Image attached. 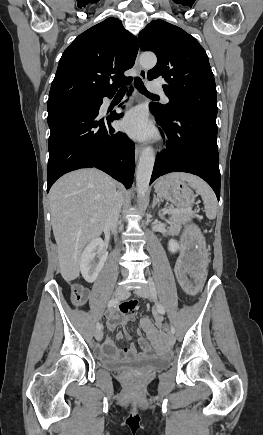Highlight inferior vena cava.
<instances>
[{
  "instance_id": "obj_1",
  "label": "inferior vena cava",
  "mask_w": 263,
  "mask_h": 435,
  "mask_svg": "<svg viewBox=\"0 0 263 435\" xmlns=\"http://www.w3.org/2000/svg\"><path fill=\"white\" fill-rule=\"evenodd\" d=\"M122 202H123L122 195L120 192H117L115 194V197L112 201V204L109 208L106 217V222H105L106 226H108L115 233L118 227V220H119V214H120Z\"/></svg>"
}]
</instances>
